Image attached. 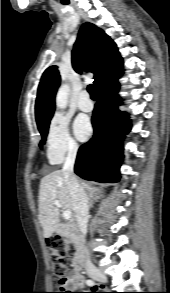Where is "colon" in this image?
I'll return each mask as SVG.
<instances>
[{"instance_id": "1", "label": "colon", "mask_w": 170, "mask_h": 293, "mask_svg": "<svg viewBox=\"0 0 170 293\" xmlns=\"http://www.w3.org/2000/svg\"><path fill=\"white\" fill-rule=\"evenodd\" d=\"M47 245L51 249L50 261L57 279V292L53 293H67L70 282L66 273L69 265L68 258L73 254V246L69 241L58 236L48 238Z\"/></svg>"}]
</instances>
